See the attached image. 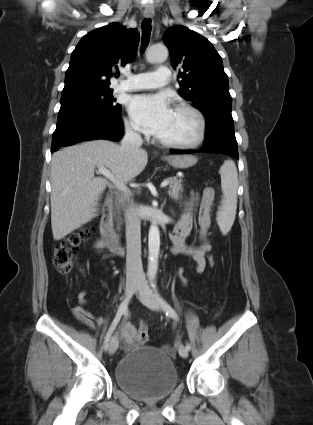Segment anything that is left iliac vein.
Here are the masks:
<instances>
[{"mask_svg": "<svg viewBox=\"0 0 313 425\" xmlns=\"http://www.w3.org/2000/svg\"><path fill=\"white\" fill-rule=\"evenodd\" d=\"M139 298L141 302L151 310L159 311L162 309V304L159 299L153 294L147 283L141 282L138 287ZM179 355L183 358L188 357V350L184 345L178 348Z\"/></svg>", "mask_w": 313, "mask_h": 425, "instance_id": "4c4485c4", "label": "left iliac vein"}]
</instances>
